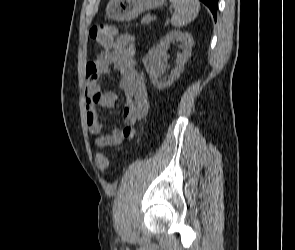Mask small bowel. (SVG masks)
<instances>
[{
    "label": "small bowel",
    "mask_w": 295,
    "mask_h": 250,
    "mask_svg": "<svg viewBox=\"0 0 295 250\" xmlns=\"http://www.w3.org/2000/svg\"><path fill=\"white\" fill-rule=\"evenodd\" d=\"M115 69L119 72V84L127 100L124 107V125L104 133L105 123L99 109L112 108L116 102L113 91L101 90V74ZM86 119L97 148L113 147L125 139H134L139 125L149 111V101L144 77L139 73L135 61L134 36L120 35L112 48L100 53L86 66Z\"/></svg>",
    "instance_id": "small-bowel-1"
}]
</instances>
